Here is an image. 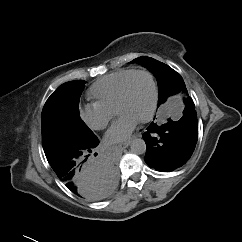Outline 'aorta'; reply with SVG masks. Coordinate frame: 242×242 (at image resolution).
I'll return each instance as SVG.
<instances>
[{
    "mask_svg": "<svg viewBox=\"0 0 242 242\" xmlns=\"http://www.w3.org/2000/svg\"><path fill=\"white\" fill-rule=\"evenodd\" d=\"M130 148L134 154H144L146 152V143L143 139L137 138L132 141Z\"/></svg>",
    "mask_w": 242,
    "mask_h": 242,
    "instance_id": "1",
    "label": "aorta"
}]
</instances>
